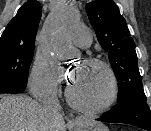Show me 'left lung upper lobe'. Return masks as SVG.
I'll return each instance as SVG.
<instances>
[{
    "mask_svg": "<svg viewBox=\"0 0 151 131\" xmlns=\"http://www.w3.org/2000/svg\"><path fill=\"white\" fill-rule=\"evenodd\" d=\"M86 11L99 43L108 50L109 60L117 77V104L136 94L145 96L135 43L117 5L113 0H96L86 5Z\"/></svg>",
    "mask_w": 151,
    "mask_h": 131,
    "instance_id": "obj_1",
    "label": "left lung upper lobe"
}]
</instances>
